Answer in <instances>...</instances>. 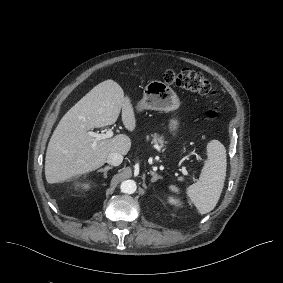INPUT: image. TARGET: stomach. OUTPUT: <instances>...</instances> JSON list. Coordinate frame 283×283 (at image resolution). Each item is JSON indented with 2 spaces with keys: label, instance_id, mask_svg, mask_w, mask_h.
<instances>
[{
  "label": "stomach",
  "instance_id": "stomach-1",
  "mask_svg": "<svg viewBox=\"0 0 283 283\" xmlns=\"http://www.w3.org/2000/svg\"><path fill=\"white\" fill-rule=\"evenodd\" d=\"M178 107L179 101L172 89L163 82L152 81L146 85L143 98L135 105V111L137 113L146 110L171 111Z\"/></svg>",
  "mask_w": 283,
  "mask_h": 283
}]
</instances>
